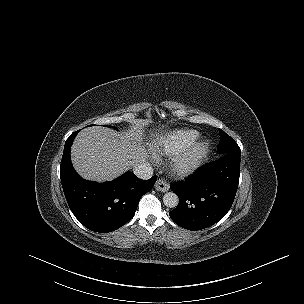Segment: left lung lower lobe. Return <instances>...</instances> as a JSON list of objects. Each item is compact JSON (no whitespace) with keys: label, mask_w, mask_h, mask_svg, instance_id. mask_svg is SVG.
I'll use <instances>...</instances> for the list:
<instances>
[{"label":"left lung lower lobe","mask_w":304,"mask_h":304,"mask_svg":"<svg viewBox=\"0 0 304 304\" xmlns=\"http://www.w3.org/2000/svg\"><path fill=\"white\" fill-rule=\"evenodd\" d=\"M241 151L223 153L200 167L185 181L172 183L178 206L171 219L189 230L207 228L221 220L231 208L239 184Z\"/></svg>","instance_id":"0a47b994"}]
</instances>
